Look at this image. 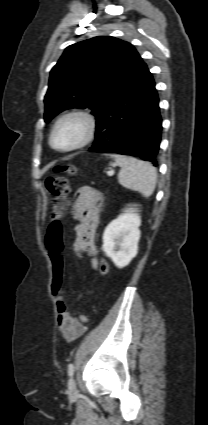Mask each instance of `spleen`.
Returning a JSON list of instances; mask_svg holds the SVG:
<instances>
[{
	"label": "spleen",
	"instance_id": "1",
	"mask_svg": "<svg viewBox=\"0 0 208 425\" xmlns=\"http://www.w3.org/2000/svg\"><path fill=\"white\" fill-rule=\"evenodd\" d=\"M116 164L121 167L118 174L119 183L125 188L140 192L148 198L154 192L157 171L149 162L133 157L113 154Z\"/></svg>",
	"mask_w": 208,
	"mask_h": 425
}]
</instances>
